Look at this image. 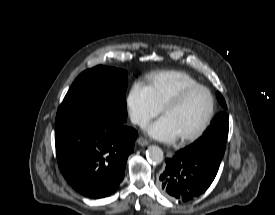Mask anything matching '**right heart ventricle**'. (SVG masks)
<instances>
[{
	"instance_id": "right-heart-ventricle-1",
	"label": "right heart ventricle",
	"mask_w": 275,
	"mask_h": 215,
	"mask_svg": "<svg viewBox=\"0 0 275 215\" xmlns=\"http://www.w3.org/2000/svg\"><path fill=\"white\" fill-rule=\"evenodd\" d=\"M146 87L161 109L181 89L198 84L188 73L178 70L158 71L146 77Z\"/></svg>"
}]
</instances>
